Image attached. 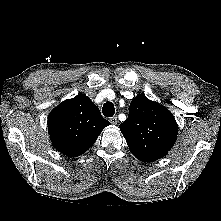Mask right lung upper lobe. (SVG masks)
<instances>
[{
  "mask_svg": "<svg viewBox=\"0 0 221 221\" xmlns=\"http://www.w3.org/2000/svg\"><path fill=\"white\" fill-rule=\"evenodd\" d=\"M110 125L99 108L84 94L65 100L48 117L52 145L68 157H77L89 149L101 131Z\"/></svg>",
  "mask_w": 221,
  "mask_h": 221,
  "instance_id": "cb5924a9",
  "label": "right lung upper lobe"
}]
</instances>
